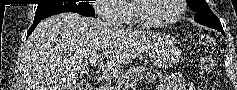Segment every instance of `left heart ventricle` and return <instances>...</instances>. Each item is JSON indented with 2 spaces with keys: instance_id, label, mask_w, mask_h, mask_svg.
<instances>
[{
  "instance_id": "1",
  "label": "left heart ventricle",
  "mask_w": 237,
  "mask_h": 90,
  "mask_svg": "<svg viewBox=\"0 0 237 90\" xmlns=\"http://www.w3.org/2000/svg\"><path fill=\"white\" fill-rule=\"evenodd\" d=\"M176 0L139 1L141 14L150 21L171 20L177 11Z\"/></svg>"
}]
</instances>
